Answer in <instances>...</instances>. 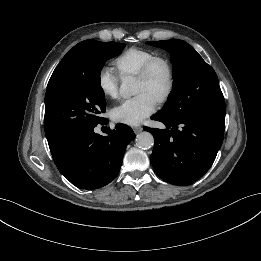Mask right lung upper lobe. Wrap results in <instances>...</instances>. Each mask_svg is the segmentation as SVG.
<instances>
[{
  "mask_svg": "<svg viewBox=\"0 0 261 261\" xmlns=\"http://www.w3.org/2000/svg\"><path fill=\"white\" fill-rule=\"evenodd\" d=\"M69 55L70 53L68 52L64 58L61 60V62L59 63V65L56 67V69L54 70L53 73L57 72L58 70H60L64 65L65 63L67 62L68 58H69Z\"/></svg>",
  "mask_w": 261,
  "mask_h": 261,
  "instance_id": "cb5924a9",
  "label": "right lung upper lobe"
}]
</instances>
